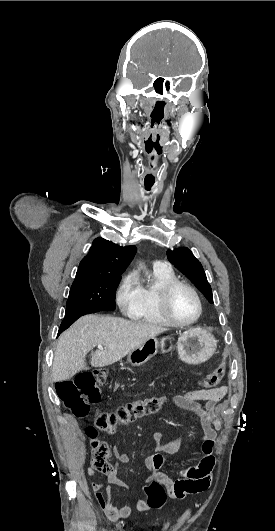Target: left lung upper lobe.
<instances>
[{
    "instance_id": "left-lung-upper-lobe-1",
    "label": "left lung upper lobe",
    "mask_w": 275,
    "mask_h": 531,
    "mask_svg": "<svg viewBox=\"0 0 275 531\" xmlns=\"http://www.w3.org/2000/svg\"><path fill=\"white\" fill-rule=\"evenodd\" d=\"M167 257L204 294L206 299L213 303L211 286L207 281L201 263L195 258L193 253L188 248L181 247L172 251L168 250Z\"/></svg>"
}]
</instances>
